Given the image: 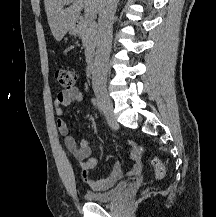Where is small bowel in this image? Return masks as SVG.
Instances as JSON below:
<instances>
[{"mask_svg":"<svg viewBox=\"0 0 216 217\" xmlns=\"http://www.w3.org/2000/svg\"><path fill=\"white\" fill-rule=\"evenodd\" d=\"M84 99L83 91L74 87L70 90L60 91L54 101L56 110V125L58 132L64 137V145L66 149L80 162L83 180L87 186L91 189L100 191L111 188L115 185L123 176L122 164L116 161L111 169L110 175L101 180L93 179L89 176L88 172L98 164V158L91 157V148L89 142L86 139H82L77 143L76 139L70 135L69 127L65 119L63 118V108L69 107L73 104L80 103ZM134 143H130L132 150ZM142 162L139 157L133 156V163L128 172L130 177L137 176L142 170Z\"/></svg>","mask_w":216,"mask_h":217,"instance_id":"1","label":"small bowel"}]
</instances>
